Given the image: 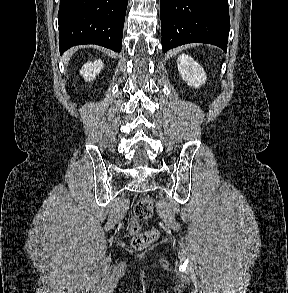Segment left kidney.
I'll use <instances>...</instances> for the list:
<instances>
[{
	"instance_id": "left-kidney-1",
	"label": "left kidney",
	"mask_w": 288,
	"mask_h": 293,
	"mask_svg": "<svg viewBox=\"0 0 288 293\" xmlns=\"http://www.w3.org/2000/svg\"><path fill=\"white\" fill-rule=\"evenodd\" d=\"M177 66L182 79L190 87L198 88L205 83L207 77L204 69L188 55H179Z\"/></svg>"
}]
</instances>
